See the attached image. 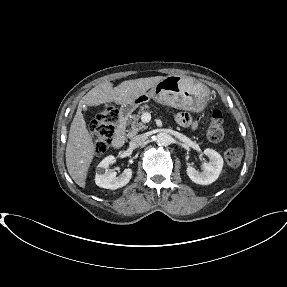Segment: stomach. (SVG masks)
Here are the masks:
<instances>
[{
    "label": "stomach",
    "mask_w": 287,
    "mask_h": 287,
    "mask_svg": "<svg viewBox=\"0 0 287 287\" xmlns=\"http://www.w3.org/2000/svg\"><path fill=\"white\" fill-rule=\"evenodd\" d=\"M150 99L174 108L201 112L209 100V91L204 84L192 78L169 75L152 87L148 93L140 95L132 102L122 104L120 113L128 115Z\"/></svg>",
    "instance_id": "1"
}]
</instances>
